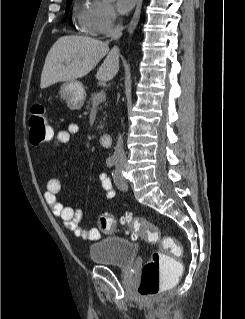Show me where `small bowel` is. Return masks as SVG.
Segmentation results:
<instances>
[{
	"mask_svg": "<svg viewBox=\"0 0 245 319\" xmlns=\"http://www.w3.org/2000/svg\"><path fill=\"white\" fill-rule=\"evenodd\" d=\"M79 132V126L70 124L66 129L57 133L55 144L62 145L70 141L71 137ZM101 187L104 191L106 199L111 200L115 198L116 193L112 187L109 177L105 173L99 176ZM61 181L56 176H52L47 181L44 197L47 205L50 207L52 213L61 219L63 225L69 229L76 236L82 237L86 241H95L102 236V232L97 227L87 229L80 228V222L83 218V211L81 208H72L64 205L58 198L61 191Z\"/></svg>",
	"mask_w": 245,
	"mask_h": 319,
	"instance_id": "small-bowel-1",
	"label": "small bowel"
}]
</instances>
